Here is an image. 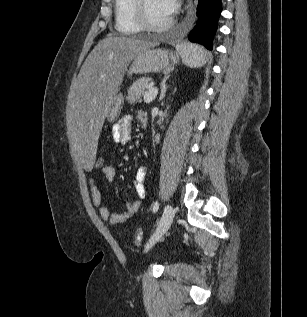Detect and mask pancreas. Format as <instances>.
<instances>
[{"label": "pancreas", "mask_w": 307, "mask_h": 317, "mask_svg": "<svg viewBox=\"0 0 307 317\" xmlns=\"http://www.w3.org/2000/svg\"><path fill=\"white\" fill-rule=\"evenodd\" d=\"M150 79L142 77L137 79L128 89L127 101L129 104H134L142 101V96L145 94V87L148 85Z\"/></svg>", "instance_id": "cf45deb5"}]
</instances>
